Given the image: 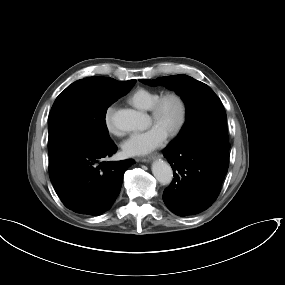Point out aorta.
I'll return each instance as SVG.
<instances>
[{
  "label": "aorta",
  "mask_w": 285,
  "mask_h": 285,
  "mask_svg": "<svg viewBox=\"0 0 285 285\" xmlns=\"http://www.w3.org/2000/svg\"><path fill=\"white\" fill-rule=\"evenodd\" d=\"M112 123L117 129L122 131L142 129L144 116L132 109H119L112 115ZM152 173L162 185L170 184L173 178L171 166L163 160L153 162Z\"/></svg>",
  "instance_id": "aorta-1"
}]
</instances>
